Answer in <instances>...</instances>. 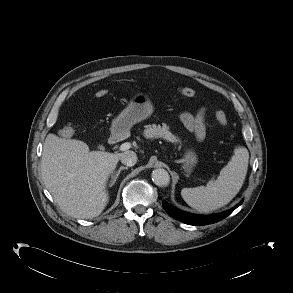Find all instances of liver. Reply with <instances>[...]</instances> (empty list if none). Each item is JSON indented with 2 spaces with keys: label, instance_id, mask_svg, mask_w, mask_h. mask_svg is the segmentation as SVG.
Returning <instances> with one entry per match:
<instances>
[{
  "label": "liver",
  "instance_id": "1",
  "mask_svg": "<svg viewBox=\"0 0 293 293\" xmlns=\"http://www.w3.org/2000/svg\"><path fill=\"white\" fill-rule=\"evenodd\" d=\"M122 153L90 151L76 139L48 134L43 144L41 175L54 200L69 216L91 219L105 209L107 181Z\"/></svg>",
  "mask_w": 293,
  "mask_h": 293
}]
</instances>
